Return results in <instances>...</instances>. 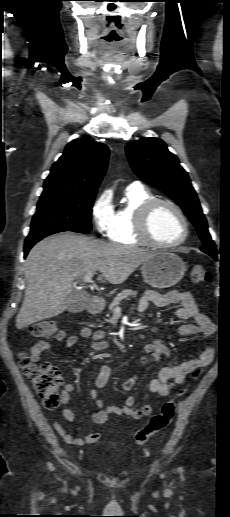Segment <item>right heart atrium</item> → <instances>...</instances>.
I'll return each instance as SVG.
<instances>
[{
	"instance_id": "1",
	"label": "right heart atrium",
	"mask_w": 230,
	"mask_h": 517,
	"mask_svg": "<svg viewBox=\"0 0 230 517\" xmlns=\"http://www.w3.org/2000/svg\"><path fill=\"white\" fill-rule=\"evenodd\" d=\"M91 217L96 231L102 236H109L114 224L115 210L107 194L99 195L91 206Z\"/></svg>"
}]
</instances>
